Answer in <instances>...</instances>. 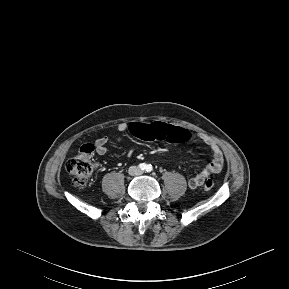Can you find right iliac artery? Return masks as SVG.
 Instances as JSON below:
<instances>
[{
    "label": "right iliac artery",
    "instance_id": "82829eb1",
    "mask_svg": "<svg viewBox=\"0 0 289 289\" xmlns=\"http://www.w3.org/2000/svg\"><path fill=\"white\" fill-rule=\"evenodd\" d=\"M139 168H140L141 170H146L147 165H146L145 163H141V164H139Z\"/></svg>",
    "mask_w": 289,
    "mask_h": 289
}]
</instances>
